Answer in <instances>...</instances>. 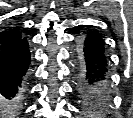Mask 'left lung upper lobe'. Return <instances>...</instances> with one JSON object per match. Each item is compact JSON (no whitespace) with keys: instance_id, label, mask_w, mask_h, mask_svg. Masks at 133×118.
<instances>
[{"instance_id":"1","label":"left lung upper lobe","mask_w":133,"mask_h":118,"mask_svg":"<svg viewBox=\"0 0 133 118\" xmlns=\"http://www.w3.org/2000/svg\"><path fill=\"white\" fill-rule=\"evenodd\" d=\"M79 95L85 111L91 113L104 110L110 102V99L106 96L97 95L84 87L79 88Z\"/></svg>"}]
</instances>
